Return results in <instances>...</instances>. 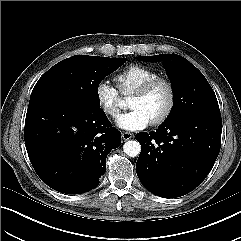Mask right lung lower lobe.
Returning a JSON list of instances; mask_svg holds the SVG:
<instances>
[{"label": "right lung lower lobe", "mask_w": 241, "mask_h": 241, "mask_svg": "<svg viewBox=\"0 0 241 241\" xmlns=\"http://www.w3.org/2000/svg\"><path fill=\"white\" fill-rule=\"evenodd\" d=\"M24 140L40 179L65 194L94 189L106 171V157L121 144V133L105 112L49 100L30 104Z\"/></svg>", "instance_id": "obj_1"}]
</instances>
